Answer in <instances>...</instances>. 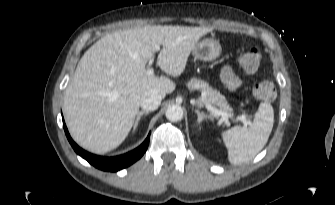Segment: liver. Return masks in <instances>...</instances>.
Segmentation results:
<instances>
[{
	"label": "liver",
	"instance_id": "6515ba94",
	"mask_svg": "<svg viewBox=\"0 0 335 205\" xmlns=\"http://www.w3.org/2000/svg\"><path fill=\"white\" fill-rule=\"evenodd\" d=\"M211 27L146 25L99 39L80 59L65 92V119L72 138L84 149L103 154L128 136L140 98L154 89L162 98L174 91L169 78L148 76L146 64L162 46L157 65L173 77L185 70L190 53Z\"/></svg>",
	"mask_w": 335,
	"mask_h": 205
}]
</instances>
